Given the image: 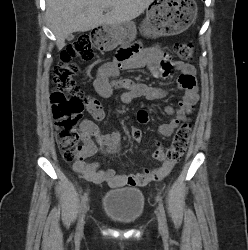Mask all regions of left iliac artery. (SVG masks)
<instances>
[{
  "label": "left iliac artery",
  "instance_id": "left-iliac-artery-1",
  "mask_svg": "<svg viewBox=\"0 0 248 250\" xmlns=\"http://www.w3.org/2000/svg\"><path fill=\"white\" fill-rule=\"evenodd\" d=\"M157 201L159 202V210H160V214H161V218L163 222V231L165 234L168 235V226H167L166 214H165V210L163 207V203L160 197H157Z\"/></svg>",
  "mask_w": 248,
  "mask_h": 250
}]
</instances>
